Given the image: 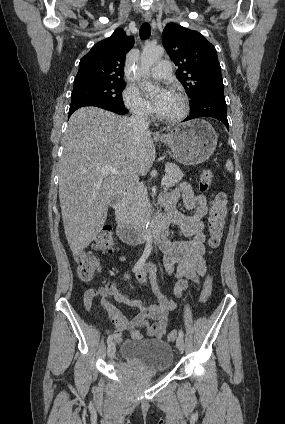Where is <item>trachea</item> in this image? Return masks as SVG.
<instances>
[{
	"label": "trachea",
	"instance_id": "3493384b",
	"mask_svg": "<svg viewBox=\"0 0 285 424\" xmlns=\"http://www.w3.org/2000/svg\"><path fill=\"white\" fill-rule=\"evenodd\" d=\"M141 39H147L151 35V27L149 23H143L139 30Z\"/></svg>",
	"mask_w": 285,
	"mask_h": 424
}]
</instances>
